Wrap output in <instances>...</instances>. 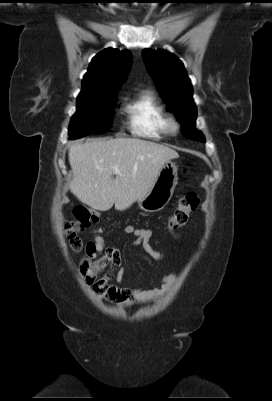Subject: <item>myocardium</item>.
Masks as SVG:
<instances>
[{"mask_svg": "<svg viewBox=\"0 0 272 401\" xmlns=\"http://www.w3.org/2000/svg\"><path fill=\"white\" fill-rule=\"evenodd\" d=\"M167 123H168V129L171 133H176L180 128L179 121L174 116L168 117Z\"/></svg>", "mask_w": 272, "mask_h": 401, "instance_id": "myocardium-1", "label": "myocardium"}]
</instances>
